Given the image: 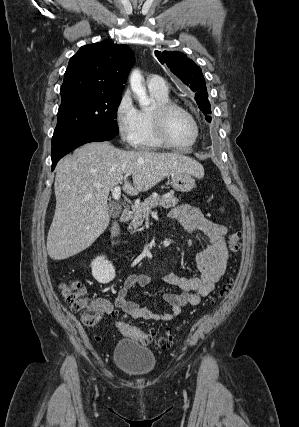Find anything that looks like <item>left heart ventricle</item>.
<instances>
[{
	"label": "left heart ventricle",
	"mask_w": 299,
	"mask_h": 427,
	"mask_svg": "<svg viewBox=\"0 0 299 427\" xmlns=\"http://www.w3.org/2000/svg\"><path fill=\"white\" fill-rule=\"evenodd\" d=\"M166 131L174 143L188 144L194 137V124L185 113L174 110L166 118Z\"/></svg>",
	"instance_id": "obj_1"
}]
</instances>
